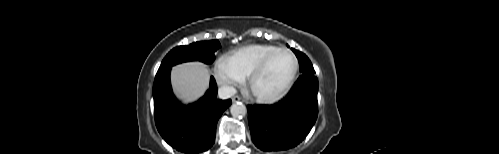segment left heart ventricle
Segmentation results:
<instances>
[{"mask_svg": "<svg viewBox=\"0 0 499 154\" xmlns=\"http://www.w3.org/2000/svg\"><path fill=\"white\" fill-rule=\"evenodd\" d=\"M293 70V60L285 52L276 54L264 73L256 80L254 90L261 95L277 93L287 82Z\"/></svg>", "mask_w": 499, "mask_h": 154, "instance_id": "1", "label": "left heart ventricle"}]
</instances>
